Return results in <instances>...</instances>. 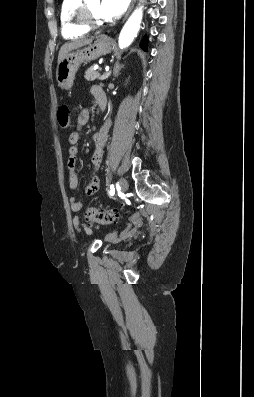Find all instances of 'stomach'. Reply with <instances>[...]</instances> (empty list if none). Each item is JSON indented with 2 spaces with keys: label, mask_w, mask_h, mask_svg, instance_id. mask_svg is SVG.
<instances>
[{
  "label": "stomach",
  "mask_w": 254,
  "mask_h": 397,
  "mask_svg": "<svg viewBox=\"0 0 254 397\" xmlns=\"http://www.w3.org/2000/svg\"><path fill=\"white\" fill-rule=\"evenodd\" d=\"M112 46L113 42L109 37L101 36L87 47L69 52L57 66L56 79L58 85L63 89H70L80 65L83 62L93 61L110 53Z\"/></svg>",
  "instance_id": "1"
}]
</instances>
